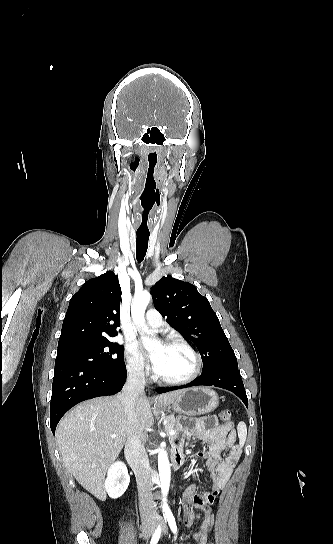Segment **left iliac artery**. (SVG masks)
<instances>
[{"label": "left iliac artery", "mask_w": 333, "mask_h": 544, "mask_svg": "<svg viewBox=\"0 0 333 544\" xmlns=\"http://www.w3.org/2000/svg\"><path fill=\"white\" fill-rule=\"evenodd\" d=\"M166 517H167V521H168V524H169L172 532L176 535L177 534V526H176L174 516H173V514H172V512L170 510L166 511Z\"/></svg>", "instance_id": "1"}]
</instances>
